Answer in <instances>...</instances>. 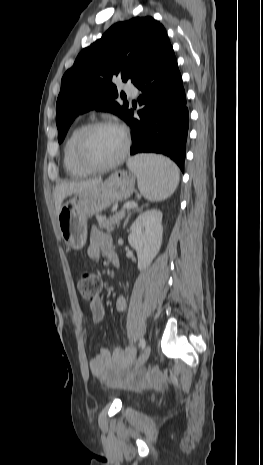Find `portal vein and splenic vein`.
<instances>
[{
	"label": "portal vein and splenic vein",
	"mask_w": 263,
	"mask_h": 465,
	"mask_svg": "<svg viewBox=\"0 0 263 465\" xmlns=\"http://www.w3.org/2000/svg\"><path fill=\"white\" fill-rule=\"evenodd\" d=\"M137 207V204L135 202H128L126 204H124L123 206V209H133V208H136Z\"/></svg>",
	"instance_id": "1"
}]
</instances>
